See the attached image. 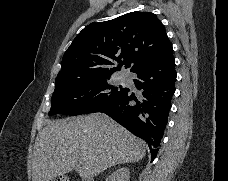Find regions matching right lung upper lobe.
I'll return each mask as SVG.
<instances>
[{"label": "right lung upper lobe", "mask_w": 228, "mask_h": 181, "mask_svg": "<svg viewBox=\"0 0 228 181\" xmlns=\"http://www.w3.org/2000/svg\"><path fill=\"white\" fill-rule=\"evenodd\" d=\"M172 47L161 21L151 12H131L91 23L74 39L62 59L56 86L131 72ZM117 62V67H111Z\"/></svg>", "instance_id": "1"}]
</instances>
